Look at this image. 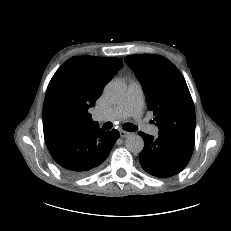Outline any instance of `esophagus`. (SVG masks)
<instances>
[{
	"mask_svg": "<svg viewBox=\"0 0 231 231\" xmlns=\"http://www.w3.org/2000/svg\"><path fill=\"white\" fill-rule=\"evenodd\" d=\"M119 133L122 138H125L130 135V132L124 130H120Z\"/></svg>",
	"mask_w": 231,
	"mask_h": 231,
	"instance_id": "34e87169",
	"label": "esophagus"
}]
</instances>
